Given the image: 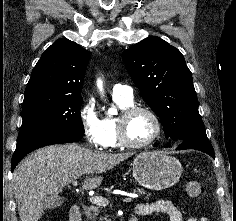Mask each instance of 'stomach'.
Returning <instances> with one entry per match:
<instances>
[{"label": "stomach", "mask_w": 236, "mask_h": 221, "mask_svg": "<svg viewBox=\"0 0 236 221\" xmlns=\"http://www.w3.org/2000/svg\"><path fill=\"white\" fill-rule=\"evenodd\" d=\"M181 174L179 160L161 152H143L133 161L135 180L151 190H163L175 185Z\"/></svg>", "instance_id": "stomach-1"}]
</instances>
